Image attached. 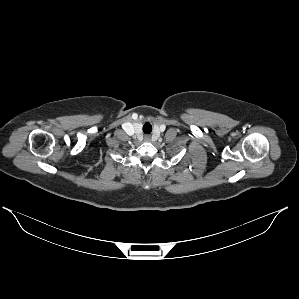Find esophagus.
<instances>
[{
    "label": "esophagus",
    "instance_id": "1",
    "mask_svg": "<svg viewBox=\"0 0 299 299\" xmlns=\"http://www.w3.org/2000/svg\"><path fill=\"white\" fill-rule=\"evenodd\" d=\"M144 139H145V141H150V135L146 134Z\"/></svg>",
    "mask_w": 299,
    "mask_h": 299
}]
</instances>
